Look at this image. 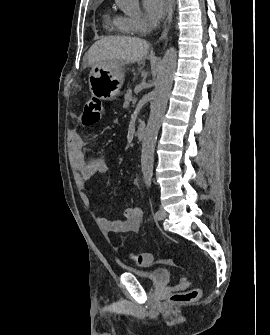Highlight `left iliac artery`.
Returning <instances> with one entry per match:
<instances>
[{
    "instance_id": "obj_1",
    "label": "left iliac artery",
    "mask_w": 270,
    "mask_h": 335,
    "mask_svg": "<svg viewBox=\"0 0 270 335\" xmlns=\"http://www.w3.org/2000/svg\"><path fill=\"white\" fill-rule=\"evenodd\" d=\"M146 184H147L148 187H150V186H151V181H150V180L146 181ZM159 214H160V212H159V210H158V211L155 213V217L157 218V217L159 216Z\"/></svg>"
}]
</instances>
